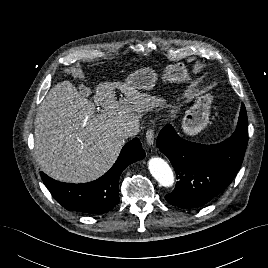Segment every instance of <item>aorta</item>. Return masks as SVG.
Segmentation results:
<instances>
[{"label":"aorta","mask_w":268,"mask_h":268,"mask_svg":"<svg viewBox=\"0 0 268 268\" xmlns=\"http://www.w3.org/2000/svg\"><path fill=\"white\" fill-rule=\"evenodd\" d=\"M148 168L152 176L161 186L171 187L174 183V175L169 164L160 157H152L148 161Z\"/></svg>","instance_id":"1"}]
</instances>
